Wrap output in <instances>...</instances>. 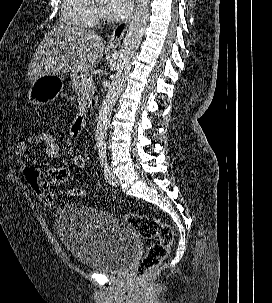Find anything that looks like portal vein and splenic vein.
Masks as SVG:
<instances>
[{
	"label": "portal vein and splenic vein",
	"mask_w": 272,
	"mask_h": 303,
	"mask_svg": "<svg viewBox=\"0 0 272 303\" xmlns=\"http://www.w3.org/2000/svg\"><path fill=\"white\" fill-rule=\"evenodd\" d=\"M92 83H93L92 77L85 76V77L82 78V85L83 86L92 85Z\"/></svg>",
	"instance_id": "obj_1"
}]
</instances>
